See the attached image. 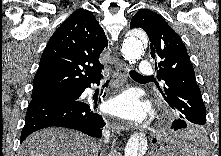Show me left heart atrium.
<instances>
[{"label":"left heart atrium","instance_id":"39dd6f15","mask_svg":"<svg viewBox=\"0 0 221 156\" xmlns=\"http://www.w3.org/2000/svg\"><path fill=\"white\" fill-rule=\"evenodd\" d=\"M106 109L113 116L135 122L143 120L149 110L134 91H126L110 99Z\"/></svg>","mask_w":221,"mask_h":156}]
</instances>
